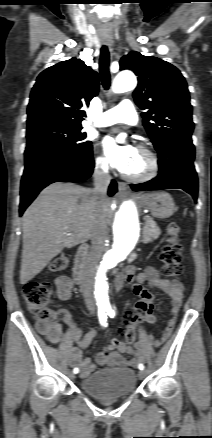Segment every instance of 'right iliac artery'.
Listing matches in <instances>:
<instances>
[{
    "label": "right iliac artery",
    "mask_w": 212,
    "mask_h": 438,
    "mask_svg": "<svg viewBox=\"0 0 212 438\" xmlns=\"http://www.w3.org/2000/svg\"><path fill=\"white\" fill-rule=\"evenodd\" d=\"M105 311H106V310H105V309H102V308H100V309L98 310V318H99V322H100V324H101L102 326H104V327L107 326V323H106L107 316H106ZM78 372H79V369H78V368H74V369H73V373L77 374Z\"/></svg>",
    "instance_id": "82829eb1"
}]
</instances>
